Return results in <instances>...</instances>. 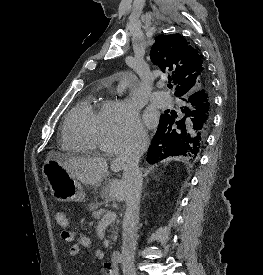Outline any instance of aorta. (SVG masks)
Segmentation results:
<instances>
[{
    "mask_svg": "<svg viewBox=\"0 0 263 275\" xmlns=\"http://www.w3.org/2000/svg\"><path fill=\"white\" fill-rule=\"evenodd\" d=\"M129 85L128 75H125L118 84L117 93L122 94Z\"/></svg>",
    "mask_w": 263,
    "mask_h": 275,
    "instance_id": "obj_1",
    "label": "aorta"
}]
</instances>
